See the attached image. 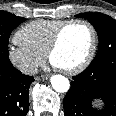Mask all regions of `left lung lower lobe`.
Wrapping results in <instances>:
<instances>
[{
	"label": "left lung lower lobe",
	"mask_w": 116,
	"mask_h": 116,
	"mask_svg": "<svg viewBox=\"0 0 116 116\" xmlns=\"http://www.w3.org/2000/svg\"><path fill=\"white\" fill-rule=\"evenodd\" d=\"M72 79L63 99L65 116H116V58L91 63ZM95 100L103 106L94 107Z\"/></svg>",
	"instance_id": "0a47b994"
}]
</instances>
